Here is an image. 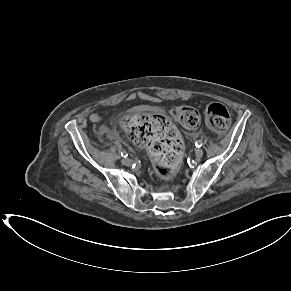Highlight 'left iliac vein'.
I'll return each instance as SVG.
<instances>
[{
	"label": "left iliac vein",
	"instance_id": "4c4485c4",
	"mask_svg": "<svg viewBox=\"0 0 291 291\" xmlns=\"http://www.w3.org/2000/svg\"><path fill=\"white\" fill-rule=\"evenodd\" d=\"M203 156V150L201 148L196 149L195 158L200 159Z\"/></svg>",
	"mask_w": 291,
	"mask_h": 291
}]
</instances>
